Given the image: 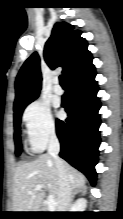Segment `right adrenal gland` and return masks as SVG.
Instances as JSON below:
<instances>
[{
    "mask_svg": "<svg viewBox=\"0 0 123 219\" xmlns=\"http://www.w3.org/2000/svg\"><path fill=\"white\" fill-rule=\"evenodd\" d=\"M86 193H87V187L86 186H81V187H78V188L74 189V191L72 193V196H71L70 206L72 204V201H73L75 195H77V194L85 195Z\"/></svg>",
    "mask_w": 123,
    "mask_h": 219,
    "instance_id": "2a0ac1e0",
    "label": "right adrenal gland"
}]
</instances>
